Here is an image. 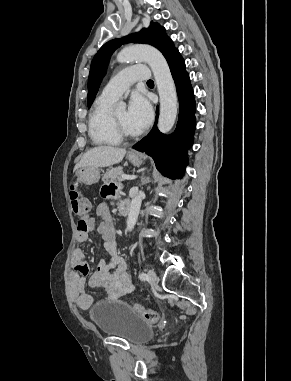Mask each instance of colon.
I'll return each instance as SVG.
<instances>
[{"label":"colon","instance_id":"colon-1","mask_svg":"<svg viewBox=\"0 0 291 381\" xmlns=\"http://www.w3.org/2000/svg\"><path fill=\"white\" fill-rule=\"evenodd\" d=\"M111 191V190H109ZM70 200L73 214L79 219L80 229L87 228V222L90 220L91 204L77 189L75 185L70 189ZM135 313L143 317L149 323H157L160 320V314L157 311L146 309L140 304H133Z\"/></svg>","mask_w":291,"mask_h":381}]
</instances>
